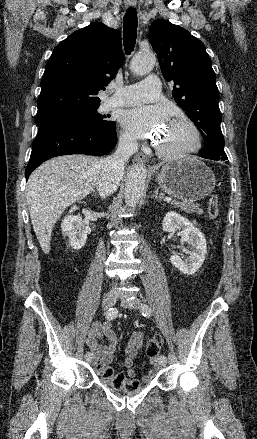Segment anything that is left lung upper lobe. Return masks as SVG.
I'll use <instances>...</instances> for the list:
<instances>
[{
    "label": "left lung upper lobe",
    "mask_w": 257,
    "mask_h": 439,
    "mask_svg": "<svg viewBox=\"0 0 257 439\" xmlns=\"http://www.w3.org/2000/svg\"><path fill=\"white\" fill-rule=\"evenodd\" d=\"M149 41L164 78L174 82L172 96L202 133L205 148L199 155L226 156L216 76L203 42L167 20L151 24Z\"/></svg>",
    "instance_id": "obj_1"
}]
</instances>
